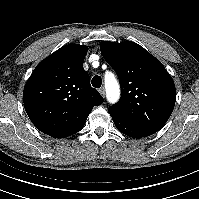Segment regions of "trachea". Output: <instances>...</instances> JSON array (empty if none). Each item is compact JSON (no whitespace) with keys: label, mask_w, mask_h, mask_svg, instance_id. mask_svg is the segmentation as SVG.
<instances>
[{"label":"trachea","mask_w":199,"mask_h":199,"mask_svg":"<svg viewBox=\"0 0 199 199\" xmlns=\"http://www.w3.org/2000/svg\"><path fill=\"white\" fill-rule=\"evenodd\" d=\"M91 84L95 88H100L101 85H102V78L100 76H98V75L94 76L92 78Z\"/></svg>","instance_id":"1"}]
</instances>
